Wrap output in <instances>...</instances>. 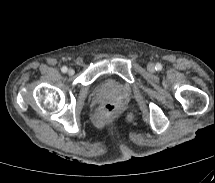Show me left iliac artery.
Segmentation results:
<instances>
[{"instance_id": "1", "label": "left iliac artery", "mask_w": 215, "mask_h": 183, "mask_svg": "<svg viewBox=\"0 0 215 183\" xmlns=\"http://www.w3.org/2000/svg\"><path fill=\"white\" fill-rule=\"evenodd\" d=\"M155 69L157 71H160L162 69V65L160 63H157L156 66H155Z\"/></svg>"}]
</instances>
